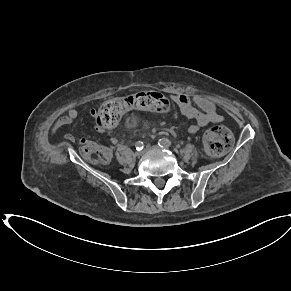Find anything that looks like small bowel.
<instances>
[{"mask_svg":"<svg viewBox=\"0 0 291 291\" xmlns=\"http://www.w3.org/2000/svg\"><path fill=\"white\" fill-rule=\"evenodd\" d=\"M173 101L178 107L181 115L193 121L188 129L190 133H196L200 128L207 126L210 123H220L224 119L218 112L215 103L204 96L197 94H176L173 96ZM91 114L96 117L97 111L92 110ZM79 115L80 113L77 108H70L64 116L57 119V121L53 124L50 132L51 136H55L60 129L72 124L79 117ZM66 140L70 143L77 141L79 144L83 145L88 143L87 138H76L72 134H68L66 136ZM111 142L116 144L118 140L116 138H112Z\"/></svg>","mask_w":291,"mask_h":291,"instance_id":"small-bowel-1","label":"small bowel"}]
</instances>
